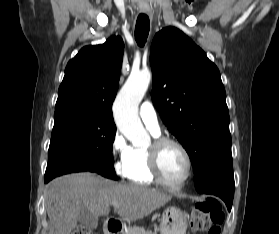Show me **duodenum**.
<instances>
[{
  "mask_svg": "<svg viewBox=\"0 0 279 234\" xmlns=\"http://www.w3.org/2000/svg\"><path fill=\"white\" fill-rule=\"evenodd\" d=\"M121 224L115 219H108L104 225V234H120Z\"/></svg>",
  "mask_w": 279,
  "mask_h": 234,
  "instance_id": "duodenum-1",
  "label": "duodenum"
}]
</instances>
